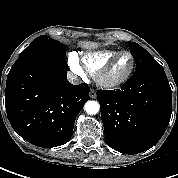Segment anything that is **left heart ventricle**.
I'll return each instance as SVG.
<instances>
[{
  "mask_svg": "<svg viewBox=\"0 0 178 178\" xmlns=\"http://www.w3.org/2000/svg\"><path fill=\"white\" fill-rule=\"evenodd\" d=\"M132 66V59L128 54L122 55L107 73V79L116 80L124 76Z\"/></svg>",
  "mask_w": 178,
  "mask_h": 178,
  "instance_id": "1",
  "label": "left heart ventricle"
}]
</instances>
